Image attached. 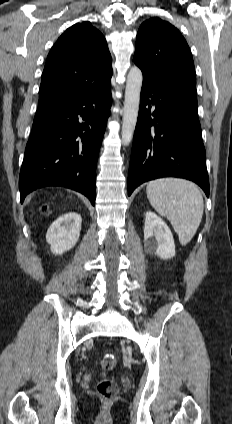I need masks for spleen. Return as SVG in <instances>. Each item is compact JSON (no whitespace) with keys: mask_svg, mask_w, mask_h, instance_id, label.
<instances>
[{"mask_svg":"<svg viewBox=\"0 0 232 424\" xmlns=\"http://www.w3.org/2000/svg\"><path fill=\"white\" fill-rule=\"evenodd\" d=\"M146 193L152 207L171 222L181 245H187L203 216V197L197 185L180 178H161L149 182Z\"/></svg>","mask_w":232,"mask_h":424,"instance_id":"spleen-1","label":"spleen"}]
</instances>
